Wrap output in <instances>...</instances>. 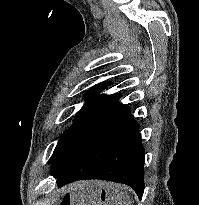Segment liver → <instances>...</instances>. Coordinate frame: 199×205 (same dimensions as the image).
Wrapping results in <instances>:
<instances>
[{
    "label": "liver",
    "instance_id": "liver-1",
    "mask_svg": "<svg viewBox=\"0 0 199 205\" xmlns=\"http://www.w3.org/2000/svg\"><path fill=\"white\" fill-rule=\"evenodd\" d=\"M112 199H115V202L118 205H125L126 202L128 201V197L126 193L123 191H120L118 186H115V197ZM98 203L99 202L93 195H89L86 197L85 194H82L81 202L79 203V205H97Z\"/></svg>",
    "mask_w": 199,
    "mask_h": 205
}]
</instances>
